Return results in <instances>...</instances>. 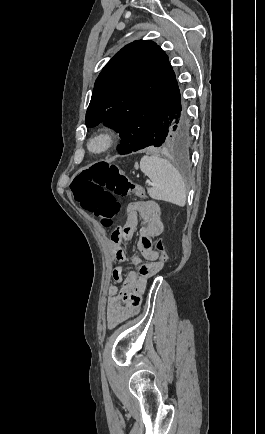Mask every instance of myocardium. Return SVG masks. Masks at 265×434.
<instances>
[{"mask_svg": "<svg viewBox=\"0 0 265 434\" xmlns=\"http://www.w3.org/2000/svg\"><path fill=\"white\" fill-rule=\"evenodd\" d=\"M115 133L110 128H105L93 133L85 142V152L92 157H101L107 154L114 146Z\"/></svg>", "mask_w": 265, "mask_h": 434, "instance_id": "f54148a6", "label": "myocardium"}]
</instances>
